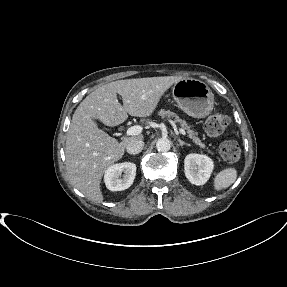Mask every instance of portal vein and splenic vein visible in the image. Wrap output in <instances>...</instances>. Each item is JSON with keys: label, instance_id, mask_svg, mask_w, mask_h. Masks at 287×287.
<instances>
[{"label": "portal vein and splenic vein", "instance_id": "portal-vein-and-splenic-vein-1", "mask_svg": "<svg viewBox=\"0 0 287 287\" xmlns=\"http://www.w3.org/2000/svg\"><path fill=\"white\" fill-rule=\"evenodd\" d=\"M142 130H143V128L140 125H135V126L129 127L126 131V134L128 136L138 135L142 132ZM179 132H180V134H182L184 136L186 135V132L182 128L179 129Z\"/></svg>", "mask_w": 287, "mask_h": 287}]
</instances>
